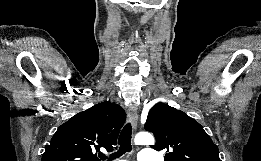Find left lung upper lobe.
Masks as SVG:
<instances>
[{
	"instance_id": "1",
	"label": "left lung upper lobe",
	"mask_w": 261,
	"mask_h": 161,
	"mask_svg": "<svg viewBox=\"0 0 261 161\" xmlns=\"http://www.w3.org/2000/svg\"><path fill=\"white\" fill-rule=\"evenodd\" d=\"M145 129L152 132L156 144L166 150L165 161H221L218 147L193 118L164 103L155 104L148 113Z\"/></svg>"
}]
</instances>
